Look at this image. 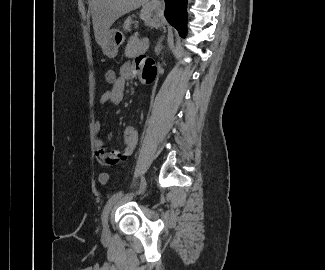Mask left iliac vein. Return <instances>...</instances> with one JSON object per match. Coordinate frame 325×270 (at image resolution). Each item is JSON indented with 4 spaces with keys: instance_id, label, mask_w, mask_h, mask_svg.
I'll return each instance as SVG.
<instances>
[{
    "instance_id": "4c4485c4",
    "label": "left iliac vein",
    "mask_w": 325,
    "mask_h": 270,
    "mask_svg": "<svg viewBox=\"0 0 325 270\" xmlns=\"http://www.w3.org/2000/svg\"><path fill=\"white\" fill-rule=\"evenodd\" d=\"M103 233H104L105 235H108V234L110 233L109 225H108V219L106 220V222H105V224H104Z\"/></svg>"
}]
</instances>
